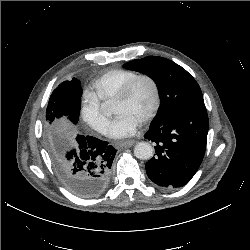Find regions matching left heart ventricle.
<instances>
[{
  "mask_svg": "<svg viewBox=\"0 0 250 250\" xmlns=\"http://www.w3.org/2000/svg\"><path fill=\"white\" fill-rule=\"evenodd\" d=\"M153 106V89L147 81H141L126 101L114 104V109L118 115L129 114L141 122L151 112Z\"/></svg>",
  "mask_w": 250,
  "mask_h": 250,
  "instance_id": "obj_1",
  "label": "left heart ventricle"
}]
</instances>
